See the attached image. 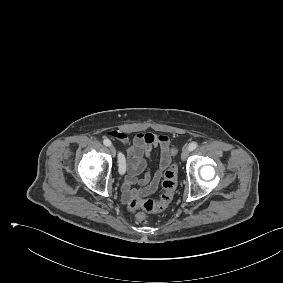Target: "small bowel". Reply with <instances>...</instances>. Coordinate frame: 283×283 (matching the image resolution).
Instances as JSON below:
<instances>
[{
	"label": "small bowel",
	"mask_w": 283,
	"mask_h": 283,
	"mask_svg": "<svg viewBox=\"0 0 283 283\" xmlns=\"http://www.w3.org/2000/svg\"><path fill=\"white\" fill-rule=\"evenodd\" d=\"M108 135L117 139L126 147L127 176L122 185L124 200L142 198L153 193L159 185L163 172L169 167L172 160L168 136L138 133L130 142L128 136L123 132L111 131L108 132ZM153 147H159L160 158L157 170L151 175L148 165ZM143 171H145L144 178L140 180L137 176ZM134 185H138L139 188H132Z\"/></svg>",
	"instance_id": "small-bowel-1"
}]
</instances>
